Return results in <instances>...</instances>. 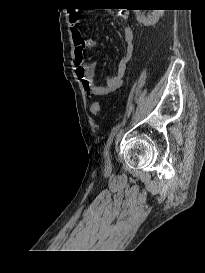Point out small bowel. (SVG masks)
Segmentation results:
<instances>
[{
    "mask_svg": "<svg viewBox=\"0 0 205 273\" xmlns=\"http://www.w3.org/2000/svg\"><path fill=\"white\" fill-rule=\"evenodd\" d=\"M122 19H127L128 15L126 13L121 14ZM70 24L72 26V37L74 43V65L76 68V75L81 81L82 86L86 93L91 96H103L107 95L116 89H118L122 84L123 76L126 72V67L132 52L133 44V32L130 28L126 27L123 30V39L126 44L127 50L126 54L119 60L117 64L116 74L113 76H107L105 83L103 85H98L94 81L96 64L88 63L84 64V50H94L97 48V41L94 39L83 40L77 25L80 21V17L76 14H72L69 17Z\"/></svg>",
    "mask_w": 205,
    "mask_h": 273,
    "instance_id": "1",
    "label": "small bowel"
}]
</instances>
